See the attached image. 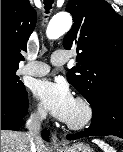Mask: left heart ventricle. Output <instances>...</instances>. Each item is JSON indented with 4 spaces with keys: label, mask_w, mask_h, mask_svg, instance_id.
Masks as SVG:
<instances>
[{
    "label": "left heart ventricle",
    "mask_w": 123,
    "mask_h": 152,
    "mask_svg": "<svg viewBox=\"0 0 123 152\" xmlns=\"http://www.w3.org/2000/svg\"><path fill=\"white\" fill-rule=\"evenodd\" d=\"M82 116V110L78 104L75 103L73 111L69 120H78Z\"/></svg>",
    "instance_id": "obj_1"
}]
</instances>
